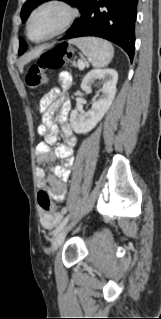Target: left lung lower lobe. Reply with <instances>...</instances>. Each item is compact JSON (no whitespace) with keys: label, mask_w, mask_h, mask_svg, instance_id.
Returning a JSON list of instances; mask_svg holds the SVG:
<instances>
[{"label":"left lung lower lobe","mask_w":161,"mask_h":319,"mask_svg":"<svg viewBox=\"0 0 161 319\" xmlns=\"http://www.w3.org/2000/svg\"><path fill=\"white\" fill-rule=\"evenodd\" d=\"M138 0H90L73 29L64 39L96 36L124 49L133 60Z\"/></svg>","instance_id":"1"}]
</instances>
